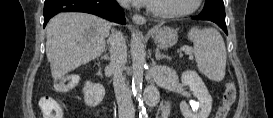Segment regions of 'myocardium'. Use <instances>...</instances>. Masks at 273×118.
<instances>
[{
    "mask_svg": "<svg viewBox=\"0 0 273 118\" xmlns=\"http://www.w3.org/2000/svg\"><path fill=\"white\" fill-rule=\"evenodd\" d=\"M202 3V0H193L192 5L185 10L182 11H158L157 9L154 8L153 5L149 4L147 5V10L154 16L164 18V19H172V18H179L183 16L190 15L194 13Z\"/></svg>",
    "mask_w": 273,
    "mask_h": 118,
    "instance_id": "f54148a6",
    "label": "myocardium"
}]
</instances>
